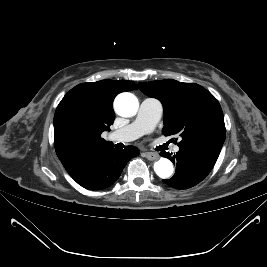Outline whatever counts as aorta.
<instances>
[{"label": "aorta", "mask_w": 267, "mask_h": 267, "mask_svg": "<svg viewBox=\"0 0 267 267\" xmlns=\"http://www.w3.org/2000/svg\"><path fill=\"white\" fill-rule=\"evenodd\" d=\"M114 107L120 116L131 117L137 113L139 102L135 95L124 92L115 98ZM154 171L160 178L166 179L173 174V164L170 160L161 158L154 163Z\"/></svg>", "instance_id": "762f6f07"}]
</instances>
